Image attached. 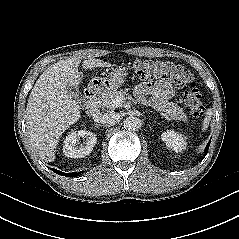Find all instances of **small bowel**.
I'll return each mask as SVG.
<instances>
[{"mask_svg": "<svg viewBox=\"0 0 239 239\" xmlns=\"http://www.w3.org/2000/svg\"><path fill=\"white\" fill-rule=\"evenodd\" d=\"M136 93L140 97L145 95L152 96L154 103L167 101L174 96L172 86L163 80L142 82L137 86Z\"/></svg>", "mask_w": 239, "mask_h": 239, "instance_id": "obj_1", "label": "small bowel"}]
</instances>
